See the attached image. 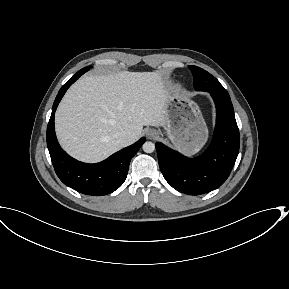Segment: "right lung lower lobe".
Returning a JSON list of instances; mask_svg holds the SVG:
<instances>
[{
    "label": "right lung lower lobe",
    "mask_w": 289,
    "mask_h": 289,
    "mask_svg": "<svg viewBox=\"0 0 289 289\" xmlns=\"http://www.w3.org/2000/svg\"><path fill=\"white\" fill-rule=\"evenodd\" d=\"M82 74L78 71L59 90L52 107L47 126V146L59 179L70 188L86 195L102 196L118 189L125 181L129 163L146 139L143 137L133 145L126 147L108 159L97 164H86L70 157L60 147L54 128L56 108L69 86Z\"/></svg>",
    "instance_id": "1"
}]
</instances>
